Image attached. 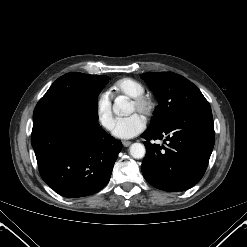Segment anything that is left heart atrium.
Wrapping results in <instances>:
<instances>
[{"label":"left heart atrium","instance_id":"left-heart-atrium-1","mask_svg":"<svg viewBox=\"0 0 247 247\" xmlns=\"http://www.w3.org/2000/svg\"><path fill=\"white\" fill-rule=\"evenodd\" d=\"M146 127L145 119L139 114L117 119L112 134L120 139H130L141 133Z\"/></svg>","mask_w":247,"mask_h":247}]
</instances>
